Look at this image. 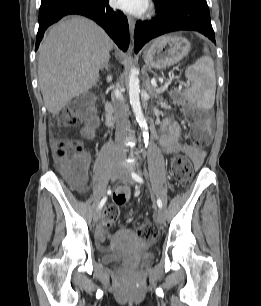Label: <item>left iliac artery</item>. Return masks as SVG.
<instances>
[{"mask_svg": "<svg viewBox=\"0 0 261 306\" xmlns=\"http://www.w3.org/2000/svg\"><path fill=\"white\" fill-rule=\"evenodd\" d=\"M131 175H132V178H133L135 181H137L138 183H143V182H144L143 178H142L139 174H137V173H135V172H132ZM157 205H158V207H159L160 209L162 208L163 203H162L161 199H157Z\"/></svg>", "mask_w": 261, "mask_h": 306, "instance_id": "44dca946", "label": "left iliac artery"}]
</instances>
